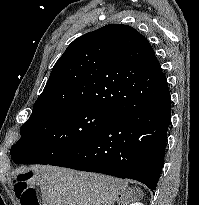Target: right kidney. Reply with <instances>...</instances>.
<instances>
[{"label": "right kidney", "mask_w": 199, "mask_h": 205, "mask_svg": "<svg viewBox=\"0 0 199 205\" xmlns=\"http://www.w3.org/2000/svg\"><path fill=\"white\" fill-rule=\"evenodd\" d=\"M130 205H143V204L140 203V202H135V203H132V204H130Z\"/></svg>", "instance_id": "right-kidney-1"}]
</instances>
